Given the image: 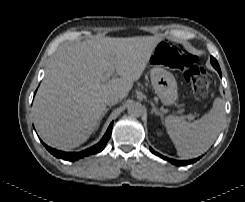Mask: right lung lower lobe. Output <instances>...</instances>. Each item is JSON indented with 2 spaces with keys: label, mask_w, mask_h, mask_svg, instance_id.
Segmentation results:
<instances>
[{
  "label": "right lung lower lobe",
  "mask_w": 245,
  "mask_h": 202,
  "mask_svg": "<svg viewBox=\"0 0 245 202\" xmlns=\"http://www.w3.org/2000/svg\"><path fill=\"white\" fill-rule=\"evenodd\" d=\"M112 126H113V122L109 125L107 132L105 133V135L103 136V138L101 139V141L96 144L95 146H92L89 149H86L82 152H62V151H58L55 150L53 148H50L48 146H46L47 150L53 154L54 156H56L57 158H61L64 160H69V161H75L78 160L82 157L91 155V154H95L98 153L100 151H102L104 149V147L106 146L110 136H111V131H112Z\"/></svg>",
  "instance_id": "right-lung-lower-lobe-1"
}]
</instances>
